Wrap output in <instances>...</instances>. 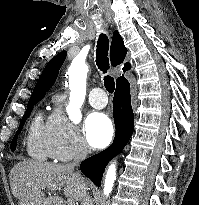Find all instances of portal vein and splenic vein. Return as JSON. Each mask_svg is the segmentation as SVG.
Instances as JSON below:
<instances>
[{"label": "portal vein and splenic vein", "instance_id": "18ae733b", "mask_svg": "<svg viewBox=\"0 0 199 205\" xmlns=\"http://www.w3.org/2000/svg\"><path fill=\"white\" fill-rule=\"evenodd\" d=\"M68 205H75V201L68 199L67 201Z\"/></svg>", "mask_w": 199, "mask_h": 205}]
</instances>
